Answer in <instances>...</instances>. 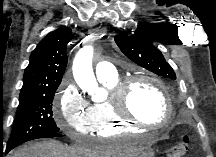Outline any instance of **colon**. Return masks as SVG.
I'll list each match as a JSON object with an SVG mask.
<instances>
[{
	"label": "colon",
	"instance_id": "colon-1",
	"mask_svg": "<svg viewBox=\"0 0 216 157\" xmlns=\"http://www.w3.org/2000/svg\"><path fill=\"white\" fill-rule=\"evenodd\" d=\"M188 142L189 137L187 135H182L178 142L175 144V146L171 150V156L172 157H183L188 150Z\"/></svg>",
	"mask_w": 216,
	"mask_h": 157
}]
</instances>
